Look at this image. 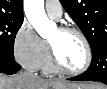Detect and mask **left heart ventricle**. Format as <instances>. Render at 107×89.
I'll return each mask as SVG.
<instances>
[{
    "label": "left heart ventricle",
    "instance_id": "1",
    "mask_svg": "<svg viewBox=\"0 0 107 89\" xmlns=\"http://www.w3.org/2000/svg\"><path fill=\"white\" fill-rule=\"evenodd\" d=\"M60 61L69 69L83 66L86 58L85 47L81 39L71 33H62L56 29L49 38Z\"/></svg>",
    "mask_w": 107,
    "mask_h": 89
}]
</instances>
